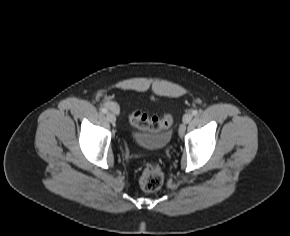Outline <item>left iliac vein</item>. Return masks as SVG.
Segmentation results:
<instances>
[{
  "mask_svg": "<svg viewBox=\"0 0 290 236\" xmlns=\"http://www.w3.org/2000/svg\"><path fill=\"white\" fill-rule=\"evenodd\" d=\"M192 114L191 113H186L184 116H183V122L185 124L189 123L191 120H192Z\"/></svg>",
  "mask_w": 290,
  "mask_h": 236,
  "instance_id": "left-iliac-vein-1",
  "label": "left iliac vein"
}]
</instances>
